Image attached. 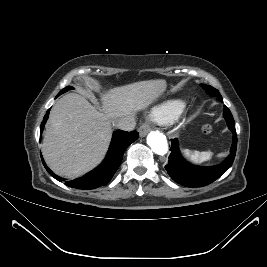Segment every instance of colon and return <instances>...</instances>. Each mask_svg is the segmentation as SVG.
Here are the masks:
<instances>
[{
  "instance_id": "colon-1",
  "label": "colon",
  "mask_w": 267,
  "mask_h": 267,
  "mask_svg": "<svg viewBox=\"0 0 267 267\" xmlns=\"http://www.w3.org/2000/svg\"><path fill=\"white\" fill-rule=\"evenodd\" d=\"M211 130H212V127L210 125H204L203 126V132L204 133L208 134L211 132Z\"/></svg>"
}]
</instances>
